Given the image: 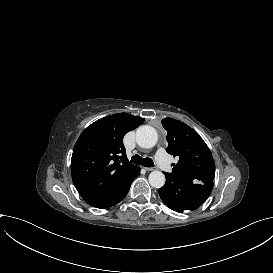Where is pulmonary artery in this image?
<instances>
[{
    "instance_id": "obj_1",
    "label": "pulmonary artery",
    "mask_w": 273,
    "mask_h": 273,
    "mask_svg": "<svg viewBox=\"0 0 273 273\" xmlns=\"http://www.w3.org/2000/svg\"><path fill=\"white\" fill-rule=\"evenodd\" d=\"M156 162L160 169L163 170L164 173L169 174L172 172L173 167L170 162L167 160V153L165 150L160 149L156 153Z\"/></svg>"
}]
</instances>
